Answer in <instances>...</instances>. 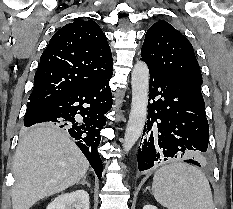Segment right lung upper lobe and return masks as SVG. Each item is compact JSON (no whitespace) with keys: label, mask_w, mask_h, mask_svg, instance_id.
<instances>
[{"label":"right lung upper lobe","mask_w":233,"mask_h":209,"mask_svg":"<svg viewBox=\"0 0 233 209\" xmlns=\"http://www.w3.org/2000/svg\"><path fill=\"white\" fill-rule=\"evenodd\" d=\"M113 71L106 36L93 20H76L59 29L40 57L28 103L45 105L88 87Z\"/></svg>","instance_id":"cb5924a9"}]
</instances>
